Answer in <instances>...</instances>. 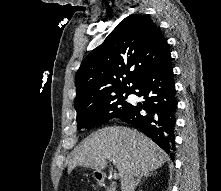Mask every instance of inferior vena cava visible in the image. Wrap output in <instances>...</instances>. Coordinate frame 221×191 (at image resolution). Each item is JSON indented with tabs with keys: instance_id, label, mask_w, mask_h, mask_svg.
Masks as SVG:
<instances>
[{
	"instance_id": "1",
	"label": "inferior vena cava",
	"mask_w": 221,
	"mask_h": 191,
	"mask_svg": "<svg viewBox=\"0 0 221 191\" xmlns=\"http://www.w3.org/2000/svg\"><path fill=\"white\" fill-rule=\"evenodd\" d=\"M134 183V176H130L125 186L122 187V191H132Z\"/></svg>"
}]
</instances>
